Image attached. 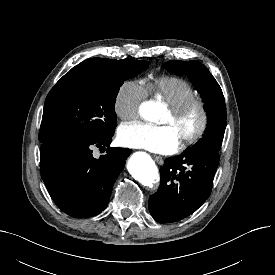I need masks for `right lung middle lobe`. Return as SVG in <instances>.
Listing matches in <instances>:
<instances>
[{"label":"right lung middle lobe","mask_w":275,"mask_h":275,"mask_svg":"<svg viewBox=\"0 0 275 275\" xmlns=\"http://www.w3.org/2000/svg\"><path fill=\"white\" fill-rule=\"evenodd\" d=\"M148 66V61L112 59L104 66L89 63L72 68L46 97L39 131L41 146L112 136L120 87Z\"/></svg>","instance_id":"1"}]
</instances>
